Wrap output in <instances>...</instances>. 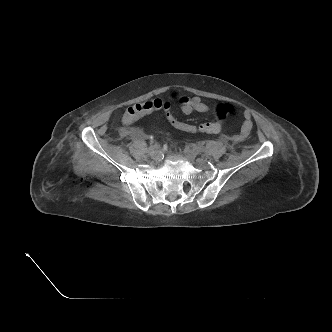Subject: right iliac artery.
<instances>
[{"label":"right iliac artery","instance_id":"82829eb1","mask_svg":"<svg viewBox=\"0 0 332 332\" xmlns=\"http://www.w3.org/2000/svg\"><path fill=\"white\" fill-rule=\"evenodd\" d=\"M155 148H157L156 144H151L148 148V151H153Z\"/></svg>","mask_w":332,"mask_h":332}]
</instances>
